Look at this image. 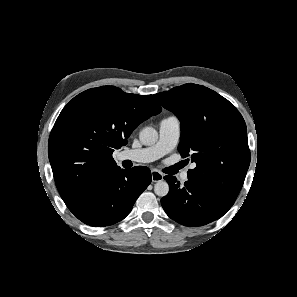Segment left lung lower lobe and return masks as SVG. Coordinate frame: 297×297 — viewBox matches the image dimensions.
Masks as SVG:
<instances>
[{"label":"left lung lower lobe","instance_id":"left-lung-lower-lobe-1","mask_svg":"<svg viewBox=\"0 0 297 297\" xmlns=\"http://www.w3.org/2000/svg\"><path fill=\"white\" fill-rule=\"evenodd\" d=\"M169 193L161 199L167 215L186 226H202L221 218L232 205L188 180L182 186L173 176H165Z\"/></svg>","mask_w":297,"mask_h":297}]
</instances>
